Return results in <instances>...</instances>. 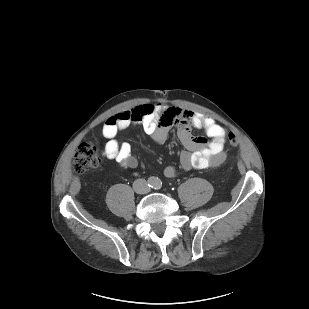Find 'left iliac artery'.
Segmentation results:
<instances>
[{"label": "left iliac artery", "mask_w": 309, "mask_h": 309, "mask_svg": "<svg viewBox=\"0 0 309 309\" xmlns=\"http://www.w3.org/2000/svg\"><path fill=\"white\" fill-rule=\"evenodd\" d=\"M155 186L157 189H159L162 187V183L160 181H157Z\"/></svg>", "instance_id": "left-iliac-artery-1"}]
</instances>
